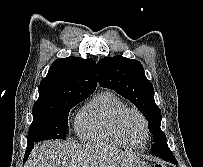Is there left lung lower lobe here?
I'll return each instance as SVG.
<instances>
[{"label": "left lung lower lobe", "instance_id": "0a47b994", "mask_svg": "<svg viewBox=\"0 0 203 167\" xmlns=\"http://www.w3.org/2000/svg\"><path fill=\"white\" fill-rule=\"evenodd\" d=\"M152 152L156 156H158L166 161H171L174 157L166 143L161 146L155 145Z\"/></svg>", "mask_w": 203, "mask_h": 167}]
</instances>
